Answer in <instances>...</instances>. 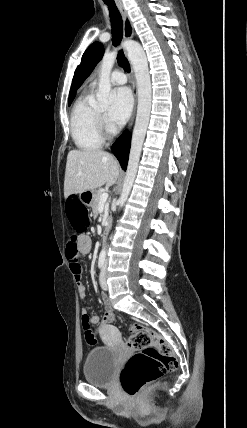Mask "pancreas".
<instances>
[{"label": "pancreas", "instance_id": "pancreas-1", "mask_svg": "<svg viewBox=\"0 0 247 428\" xmlns=\"http://www.w3.org/2000/svg\"><path fill=\"white\" fill-rule=\"evenodd\" d=\"M103 193H104V191H102V190H95V196H94V200L92 203V210H93V213L95 215L98 214V205L100 203L101 194H103Z\"/></svg>", "mask_w": 247, "mask_h": 428}]
</instances>
